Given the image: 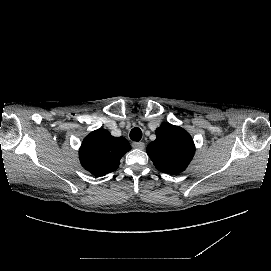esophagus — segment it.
<instances>
[{
	"mask_svg": "<svg viewBox=\"0 0 271 271\" xmlns=\"http://www.w3.org/2000/svg\"><path fill=\"white\" fill-rule=\"evenodd\" d=\"M132 147L134 149H140V150H142V149L145 148V144L143 142H137V141H135V142H132Z\"/></svg>",
	"mask_w": 271,
	"mask_h": 271,
	"instance_id": "esophagus-1",
	"label": "esophagus"
}]
</instances>
